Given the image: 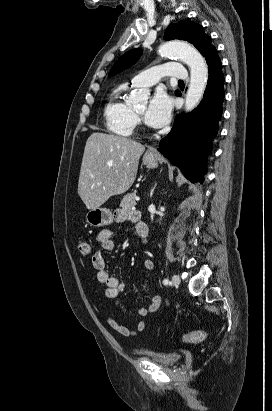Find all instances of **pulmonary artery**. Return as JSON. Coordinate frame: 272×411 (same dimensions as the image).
<instances>
[{"label":"pulmonary artery","instance_id":"e3ab8cb5","mask_svg":"<svg viewBox=\"0 0 272 411\" xmlns=\"http://www.w3.org/2000/svg\"><path fill=\"white\" fill-rule=\"evenodd\" d=\"M164 77L187 80L188 73L180 63H166L141 72L131 80V84L134 87H150Z\"/></svg>","mask_w":272,"mask_h":411}]
</instances>
